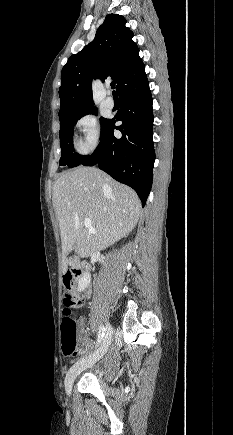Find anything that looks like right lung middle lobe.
Masks as SVG:
<instances>
[{
	"label": "right lung middle lobe",
	"mask_w": 233,
	"mask_h": 435,
	"mask_svg": "<svg viewBox=\"0 0 233 435\" xmlns=\"http://www.w3.org/2000/svg\"><path fill=\"white\" fill-rule=\"evenodd\" d=\"M87 114H95L97 115V108H93L84 113L60 117V147H61V158L59 165L68 166L69 168L76 167L80 165L87 156H81L77 153H74L73 147V125L80 119L82 116ZM101 122V136L108 126L110 119L100 118Z\"/></svg>",
	"instance_id": "dd1d6c3e"
}]
</instances>
